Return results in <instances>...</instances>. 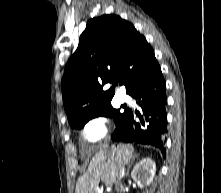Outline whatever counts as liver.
<instances>
[{"label": "liver", "mask_w": 221, "mask_h": 193, "mask_svg": "<svg viewBox=\"0 0 221 193\" xmlns=\"http://www.w3.org/2000/svg\"><path fill=\"white\" fill-rule=\"evenodd\" d=\"M130 144L117 145L97 151L92 157L86 173L76 183L75 193H97L100 180L107 186L118 183V168L134 157Z\"/></svg>", "instance_id": "6515ba94"}]
</instances>
